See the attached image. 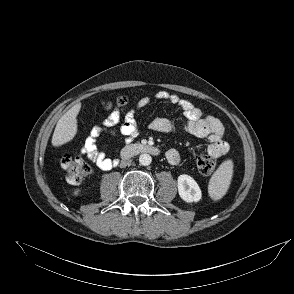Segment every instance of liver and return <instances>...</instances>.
<instances>
[{
    "mask_svg": "<svg viewBox=\"0 0 294 294\" xmlns=\"http://www.w3.org/2000/svg\"><path fill=\"white\" fill-rule=\"evenodd\" d=\"M80 109L81 103H78L59 119L51 141L54 147L62 146L73 140L78 131L77 115Z\"/></svg>",
    "mask_w": 294,
    "mask_h": 294,
    "instance_id": "obj_1",
    "label": "liver"
}]
</instances>
